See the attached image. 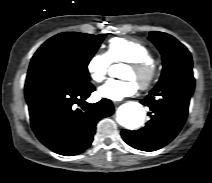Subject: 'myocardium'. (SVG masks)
Returning <instances> with one entry per match:
<instances>
[{"instance_id":"1","label":"myocardium","mask_w":212,"mask_h":183,"mask_svg":"<svg viewBox=\"0 0 212 183\" xmlns=\"http://www.w3.org/2000/svg\"><path fill=\"white\" fill-rule=\"evenodd\" d=\"M128 67L141 76V81L138 83V87L141 90L148 89L156 79L157 67L152 61L144 60L129 62Z\"/></svg>"}]
</instances>
